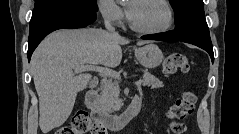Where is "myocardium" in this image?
Listing matches in <instances>:
<instances>
[{"label":"myocardium","instance_id":"f54148a6","mask_svg":"<svg viewBox=\"0 0 239 134\" xmlns=\"http://www.w3.org/2000/svg\"><path fill=\"white\" fill-rule=\"evenodd\" d=\"M151 1L157 2L164 7V9L166 11L165 23L159 28L146 29V28L136 26L131 21V19L129 17V26L133 31H135L137 33H141V34H146V35H157V34H161V33L168 31L170 29V27L172 26L173 20H174V15H173L172 7L169 4V2L166 0H151Z\"/></svg>","mask_w":239,"mask_h":134}]
</instances>
